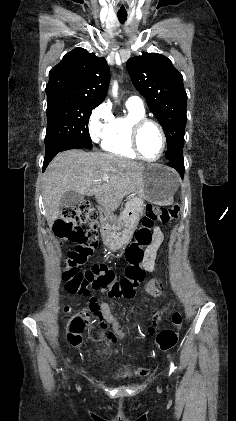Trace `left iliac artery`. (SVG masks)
<instances>
[{
    "mask_svg": "<svg viewBox=\"0 0 236 421\" xmlns=\"http://www.w3.org/2000/svg\"><path fill=\"white\" fill-rule=\"evenodd\" d=\"M174 370H175L174 364L171 362L170 373H172Z\"/></svg>",
    "mask_w": 236,
    "mask_h": 421,
    "instance_id": "obj_1",
    "label": "left iliac artery"
}]
</instances>
